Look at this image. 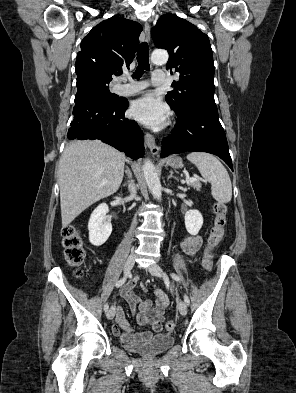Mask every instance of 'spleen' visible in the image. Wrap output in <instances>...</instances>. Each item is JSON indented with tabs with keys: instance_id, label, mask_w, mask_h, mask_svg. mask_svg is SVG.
<instances>
[{
	"instance_id": "spleen-1",
	"label": "spleen",
	"mask_w": 296,
	"mask_h": 393,
	"mask_svg": "<svg viewBox=\"0 0 296 393\" xmlns=\"http://www.w3.org/2000/svg\"><path fill=\"white\" fill-rule=\"evenodd\" d=\"M201 173L211 183L213 198L220 203H228L232 198V184L229 174L222 163L213 155L204 152H192L187 155Z\"/></svg>"
}]
</instances>
